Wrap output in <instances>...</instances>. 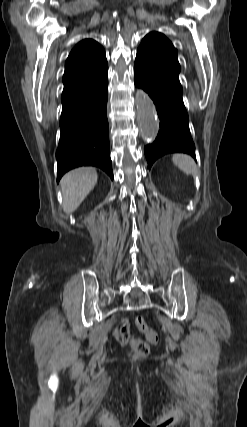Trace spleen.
I'll use <instances>...</instances> for the list:
<instances>
[{
  "label": "spleen",
  "instance_id": "obj_1",
  "mask_svg": "<svg viewBox=\"0 0 247 427\" xmlns=\"http://www.w3.org/2000/svg\"><path fill=\"white\" fill-rule=\"evenodd\" d=\"M173 163L180 168L184 173L197 175V166L194 160L186 154H174L172 157Z\"/></svg>",
  "mask_w": 247,
  "mask_h": 427
}]
</instances>
